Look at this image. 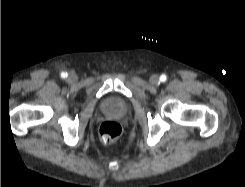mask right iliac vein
Listing matches in <instances>:
<instances>
[{"instance_id":"1","label":"right iliac vein","mask_w":245,"mask_h":187,"mask_svg":"<svg viewBox=\"0 0 245 187\" xmlns=\"http://www.w3.org/2000/svg\"><path fill=\"white\" fill-rule=\"evenodd\" d=\"M68 80L73 82L76 80V75L74 73H70L69 76H68Z\"/></svg>"}]
</instances>
